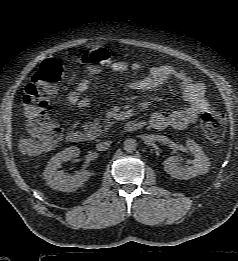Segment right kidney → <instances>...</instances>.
I'll return each instance as SVG.
<instances>
[{"instance_id":"obj_1","label":"right kidney","mask_w":238,"mask_h":261,"mask_svg":"<svg viewBox=\"0 0 238 261\" xmlns=\"http://www.w3.org/2000/svg\"><path fill=\"white\" fill-rule=\"evenodd\" d=\"M79 153L78 147L71 146L57 153L49 160L43 173L49 187L58 191L73 192L89 179L91 173L87 170L77 171L73 176L59 170L63 162L78 157Z\"/></svg>"}]
</instances>
